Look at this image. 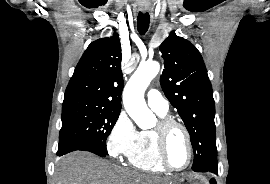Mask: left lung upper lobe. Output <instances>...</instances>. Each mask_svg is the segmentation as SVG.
<instances>
[{
  "instance_id": "obj_1",
  "label": "left lung upper lobe",
  "mask_w": 270,
  "mask_h": 184,
  "mask_svg": "<svg viewBox=\"0 0 270 184\" xmlns=\"http://www.w3.org/2000/svg\"><path fill=\"white\" fill-rule=\"evenodd\" d=\"M164 69L160 84L190 134L192 170L217 166L215 103L201 54L186 39L171 32L160 45Z\"/></svg>"
}]
</instances>
